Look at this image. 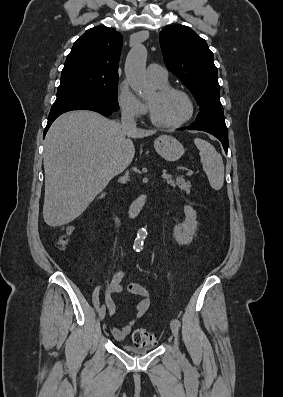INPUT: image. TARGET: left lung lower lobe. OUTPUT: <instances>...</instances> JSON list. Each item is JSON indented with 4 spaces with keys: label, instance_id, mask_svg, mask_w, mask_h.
<instances>
[{
    "label": "left lung lower lobe",
    "instance_id": "left-lung-lower-lobe-1",
    "mask_svg": "<svg viewBox=\"0 0 283 397\" xmlns=\"http://www.w3.org/2000/svg\"><path fill=\"white\" fill-rule=\"evenodd\" d=\"M200 130L208 132L217 137L223 145L225 152L228 150V130L226 124H221L214 121H196L188 127H183L180 130Z\"/></svg>",
    "mask_w": 283,
    "mask_h": 397
}]
</instances>
